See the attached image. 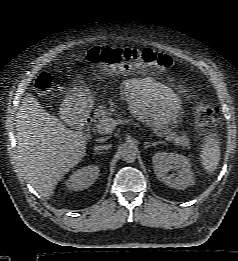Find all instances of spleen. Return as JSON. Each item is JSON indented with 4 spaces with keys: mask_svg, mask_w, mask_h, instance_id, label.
<instances>
[{
    "mask_svg": "<svg viewBox=\"0 0 238 261\" xmlns=\"http://www.w3.org/2000/svg\"><path fill=\"white\" fill-rule=\"evenodd\" d=\"M220 144L217 140L210 138L201 149L200 161L208 173H213L220 161Z\"/></svg>",
    "mask_w": 238,
    "mask_h": 261,
    "instance_id": "obj_1",
    "label": "spleen"
}]
</instances>
